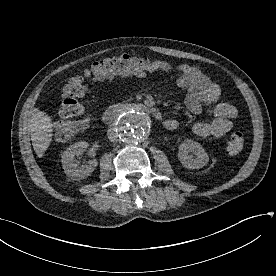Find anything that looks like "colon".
Segmentation results:
<instances>
[{
  "label": "colon",
  "mask_w": 276,
  "mask_h": 276,
  "mask_svg": "<svg viewBox=\"0 0 276 276\" xmlns=\"http://www.w3.org/2000/svg\"><path fill=\"white\" fill-rule=\"evenodd\" d=\"M150 69L151 61L148 59L125 54L95 62L82 76L71 78L61 92L62 121L55 127V138L64 141L88 127L89 119L84 117L85 107L79 99L87 93L89 81L103 80L118 75L142 76L149 73ZM244 147L243 134L238 131L232 133L227 142L228 153L239 154Z\"/></svg>",
  "instance_id": "colon-1"
}]
</instances>
